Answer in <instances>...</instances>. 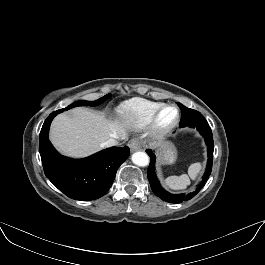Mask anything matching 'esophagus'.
<instances>
[{
	"instance_id": "obj_1",
	"label": "esophagus",
	"mask_w": 265,
	"mask_h": 265,
	"mask_svg": "<svg viewBox=\"0 0 265 265\" xmlns=\"http://www.w3.org/2000/svg\"><path fill=\"white\" fill-rule=\"evenodd\" d=\"M128 145L132 151H137L142 148V143L138 139L130 140Z\"/></svg>"
}]
</instances>
